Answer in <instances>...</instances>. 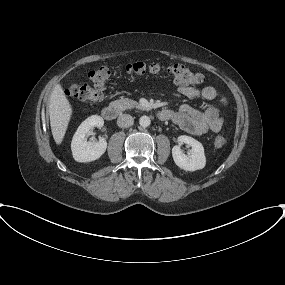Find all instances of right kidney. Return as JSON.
<instances>
[{"mask_svg": "<svg viewBox=\"0 0 285 285\" xmlns=\"http://www.w3.org/2000/svg\"><path fill=\"white\" fill-rule=\"evenodd\" d=\"M104 125V120L98 115H92L83 121L75 132L71 150L75 161L91 162L99 159L106 151L107 142L105 139H100L98 142L92 143L87 141V136L90 135L94 127L101 128Z\"/></svg>", "mask_w": 285, "mask_h": 285, "instance_id": "1", "label": "right kidney"}]
</instances>
